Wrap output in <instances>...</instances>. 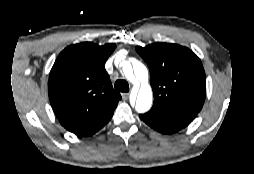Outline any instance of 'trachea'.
I'll use <instances>...</instances> for the list:
<instances>
[{
  "mask_svg": "<svg viewBox=\"0 0 254 174\" xmlns=\"http://www.w3.org/2000/svg\"><path fill=\"white\" fill-rule=\"evenodd\" d=\"M115 89L120 92H128L129 91V85L128 82L125 80L119 79L115 82Z\"/></svg>",
  "mask_w": 254,
  "mask_h": 174,
  "instance_id": "1",
  "label": "trachea"
}]
</instances>
